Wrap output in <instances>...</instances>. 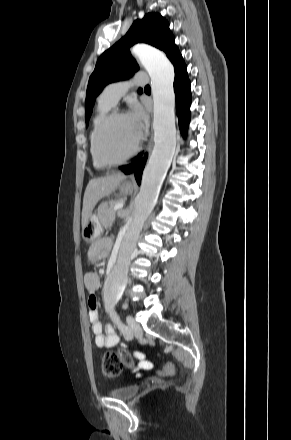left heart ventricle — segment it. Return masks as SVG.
I'll return each instance as SVG.
<instances>
[{
    "instance_id": "b2bd125f",
    "label": "left heart ventricle",
    "mask_w": 291,
    "mask_h": 440,
    "mask_svg": "<svg viewBox=\"0 0 291 440\" xmlns=\"http://www.w3.org/2000/svg\"><path fill=\"white\" fill-rule=\"evenodd\" d=\"M138 136L126 116L112 120L102 137L104 153L111 158L124 157L135 145Z\"/></svg>"
}]
</instances>
